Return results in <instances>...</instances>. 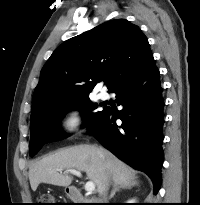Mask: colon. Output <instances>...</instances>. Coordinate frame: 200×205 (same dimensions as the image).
Returning <instances> with one entry per match:
<instances>
[{
    "label": "colon",
    "mask_w": 200,
    "mask_h": 205,
    "mask_svg": "<svg viewBox=\"0 0 200 205\" xmlns=\"http://www.w3.org/2000/svg\"><path fill=\"white\" fill-rule=\"evenodd\" d=\"M53 198L49 195H43L40 198V205H52L53 203Z\"/></svg>",
    "instance_id": "obj_1"
}]
</instances>
